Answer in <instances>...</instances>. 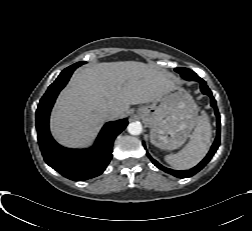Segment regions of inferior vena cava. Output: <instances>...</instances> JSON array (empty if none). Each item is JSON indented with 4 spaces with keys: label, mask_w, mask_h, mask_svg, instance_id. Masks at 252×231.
<instances>
[{
    "label": "inferior vena cava",
    "mask_w": 252,
    "mask_h": 231,
    "mask_svg": "<svg viewBox=\"0 0 252 231\" xmlns=\"http://www.w3.org/2000/svg\"><path fill=\"white\" fill-rule=\"evenodd\" d=\"M105 113L107 116L112 117L116 115V110L114 108H109L105 110Z\"/></svg>",
    "instance_id": "602c4592"
}]
</instances>
